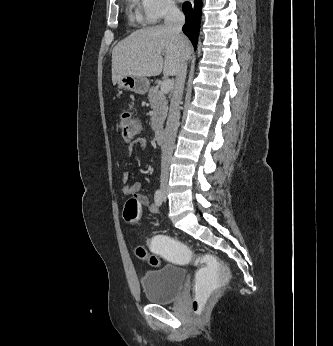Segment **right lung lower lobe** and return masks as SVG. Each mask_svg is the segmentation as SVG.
Here are the masks:
<instances>
[{
	"mask_svg": "<svg viewBox=\"0 0 333 346\" xmlns=\"http://www.w3.org/2000/svg\"><path fill=\"white\" fill-rule=\"evenodd\" d=\"M182 10L186 16V23L183 26V32L191 40L194 48L197 45V27L199 24L201 2L195 0L194 2H184Z\"/></svg>",
	"mask_w": 333,
	"mask_h": 346,
	"instance_id": "obj_1",
	"label": "right lung lower lobe"
}]
</instances>
